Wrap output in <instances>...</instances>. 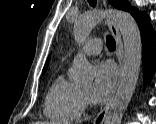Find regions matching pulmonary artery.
<instances>
[{"mask_svg":"<svg viewBox=\"0 0 156 124\" xmlns=\"http://www.w3.org/2000/svg\"><path fill=\"white\" fill-rule=\"evenodd\" d=\"M103 43L100 38H93L89 40L81 49V53L87 56H94L100 54Z\"/></svg>","mask_w":156,"mask_h":124,"instance_id":"pulmonary-artery-1","label":"pulmonary artery"}]
</instances>
